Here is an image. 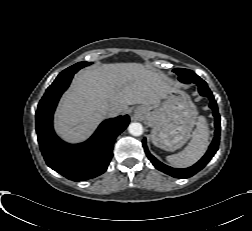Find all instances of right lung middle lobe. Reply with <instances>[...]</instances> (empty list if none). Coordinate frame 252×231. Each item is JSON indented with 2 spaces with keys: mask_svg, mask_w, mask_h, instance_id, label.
Instances as JSON below:
<instances>
[{
  "mask_svg": "<svg viewBox=\"0 0 252 231\" xmlns=\"http://www.w3.org/2000/svg\"><path fill=\"white\" fill-rule=\"evenodd\" d=\"M90 64H91V62H79V63H76V64H74L73 66H71V67L65 69L64 71H62V72L58 75V77H57L56 79L62 78L63 76H65V74H66L67 72L71 71V70L74 69V68L81 69V68H83V67H85V66H88V65H90Z\"/></svg>",
  "mask_w": 252,
  "mask_h": 231,
  "instance_id": "right-lung-middle-lobe-1",
  "label": "right lung middle lobe"
}]
</instances>
